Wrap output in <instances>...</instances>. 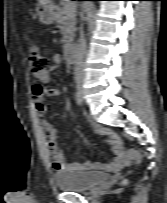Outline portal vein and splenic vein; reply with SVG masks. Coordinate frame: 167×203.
<instances>
[{
  "instance_id": "obj_1",
  "label": "portal vein and splenic vein",
  "mask_w": 167,
  "mask_h": 203,
  "mask_svg": "<svg viewBox=\"0 0 167 203\" xmlns=\"http://www.w3.org/2000/svg\"><path fill=\"white\" fill-rule=\"evenodd\" d=\"M65 9L68 12H74L75 11V5L74 4H67Z\"/></svg>"
}]
</instances>
